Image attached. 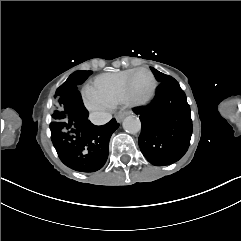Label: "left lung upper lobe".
Listing matches in <instances>:
<instances>
[{"label": "left lung upper lobe", "instance_id": "5c2ea615", "mask_svg": "<svg viewBox=\"0 0 241 241\" xmlns=\"http://www.w3.org/2000/svg\"><path fill=\"white\" fill-rule=\"evenodd\" d=\"M153 74L155 75L156 79L161 83V82H166L169 81L171 79H173L171 76L165 75L161 72H159L158 70L151 68Z\"/></svg>", "mask_w": 241, "mask_h": 241}]
</instances>
